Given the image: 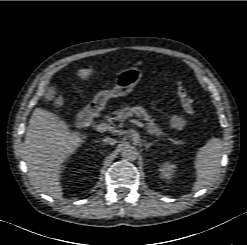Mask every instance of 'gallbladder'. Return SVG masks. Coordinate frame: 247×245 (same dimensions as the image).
Instances as JSON below:
<instances>
[{
    "label": "gallbladder",
    "instance_id": "bac80fb5",
    "mask_svg": "<svg viewBox=\"0 0 247 245\" xmlns=\"http://www.w3.org/2000/svg\"><path fill=\"white\" fill-rule=\"evenodd\" d=\"M54 94H55L54 90L52 88H49L44 96L45 100L52 101L54 99Z\"/></svg>",
    "mask_w": 247,
    "mask_h": 245
}]
</instances>
